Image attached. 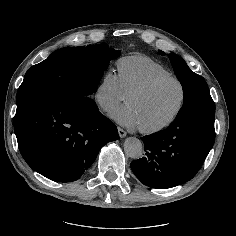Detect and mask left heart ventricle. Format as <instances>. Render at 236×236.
Masks as SVG:
<instances>
[{"instance_id": "b2bd125f", "label": "left heart ventricle", "mask_w": 236, "mask_h": 236, "mask_svg": "<svg viewBox=\"0 0 236 236\" xmlns=\"http://www.w3.org/2000/svg\"><path fill=\"white\" fill-rule=\"evenodd\" d=\"M181 89L175 82H166L144 96L129 99L137 114L140 127H153L167 120L176 110Z\"/></svg>"}]
</instances>
